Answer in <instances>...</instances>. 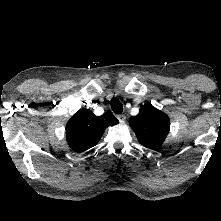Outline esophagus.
<instances>
[{"mask_svg":"<svg viewBox=\"0 0 221 221\" xmlns=\"http://www.w3.org/2000/svg\"><path fill=\"white\" fill-rule=\"evenodd\" d=\"M117 119L119 120L120 123H124L126 120V116L124 114H119L117 115Z\"/></svg>","mask_w":221,"mask_h":221,"instance_id":"34e87169","label":"esophagus"}]
</instances>
